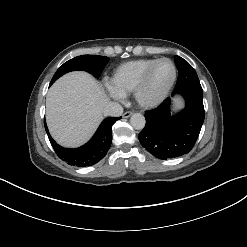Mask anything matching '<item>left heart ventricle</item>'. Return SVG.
I'll return each instance as SVG.
<instances>
[{"label": "left heart ventricle", "instance_id": "b2bd125f", "mask_svg": "<svg viewBox=\"0 0 247 247\" xmlns=\"http://www.w3.org/2000/svg\"><path fill=\"white\" fill-rule=\"evenodd\" d=\"M173 75V68L168 61H161L152 69L144 89L146 98L159 96L168 86Z\"/></svg>", "mask_w": 247, "mask_h": 247}]
</instances>
